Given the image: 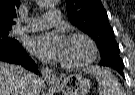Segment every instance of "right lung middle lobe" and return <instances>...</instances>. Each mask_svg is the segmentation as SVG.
<instances>
[{
  "label": "right lung middle lobe",
  "instance_id": "1",
  "mask_svg": "<svg viewBox=\"0 0 135 95\" xmlns=\"http://www.w3.org/2000/svg\"><path fill=\"white\" fill-rule=\"evenodd\" d=\"M8 35L9 30H0V47L12 46L13 44L18 42L14 38L8 37Z\"/></svg>",
  "mask_w": 135,
  "mask_h": 95
}]
</instances>
